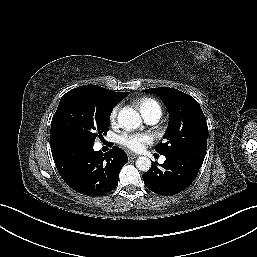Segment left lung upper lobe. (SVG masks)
I'll return each instance as SVG.
<instances>
[{"mask_svg": "<svg viewBox=\"0 0 257 257\" xmlns=\"http://www.w3.org/2000/svg\"><path fill=\"white\" fill-rule=\"evenodd\" d=\"M160 96L169 111L165 141L155 146L162 154H184L204 159L208 127L198 102L177 89L159 87L144 90Z\"/></svg>", "mask_w": 257, "mask_h": 257, "instance_id": "1", "label": "left lung upper lobe"}]
</instances>
